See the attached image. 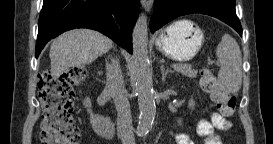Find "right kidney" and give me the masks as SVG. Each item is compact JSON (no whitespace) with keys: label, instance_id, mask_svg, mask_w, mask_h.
<instances>
[{"label":"right kidney","instance_id":"obj_1","mask_svg":"<svg viewBox=\"0 0 273 144\" xmlns=\"http://www.w3.org/2000/svg\"><path fill=\"white\" fill-rule=\"evenodd\" d=\"M84 105H85L86 107H91V102H90V100H89V99H86L85 102H84Z\"/></svg>","mask_w":273,"mask_h":144}]
</instances>
